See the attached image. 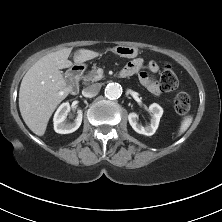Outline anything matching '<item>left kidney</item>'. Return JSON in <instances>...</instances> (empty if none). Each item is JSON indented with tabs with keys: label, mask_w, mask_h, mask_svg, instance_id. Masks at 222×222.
<instances>
[{
	"label": "left kidney",
	"mask_w": 222,
	"mask_h": 222,
	"mask_svg": "<svg viewBox=\"0 0 222 222\" xmlns=\"http://www.w3.org/2000/svg\"><path fill=\"white\" fill-rule=\"evenodd\" d=\"M148 111L151 113V123L146 127H143L138 123V115L134 112L128 115V120L131 127L139 134L151 136L158 128L160 118L163 114V109L160 105L153 103L149 106Z\"/></svg>",
	"instance_id": "obj_1"
}]
</instances>
